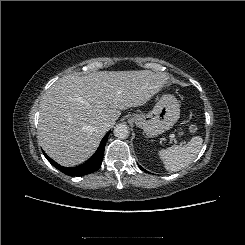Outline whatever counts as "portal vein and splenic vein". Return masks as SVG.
<instances>
[{
  "mask_svg": "<svg viewBox=\"0 0 245 245\" xmlns=\"http://www.w3.org/2000/svg\"><path fill=\"white\" fill-rule=\"evenodd\" d=\"M169 137H170L174 142L177 141V140H176V135H175V134L171 133V134L169 135ZM180 144H181V145H185L186 142L180 141Z\"/></svg>",
  "mask_w": 245,
  "mask_h": 245,
  "instance_id": "portal-vein-and-splenic-vein-1",
  "label": "portal vein and splenic vein"
}]
</instances>
